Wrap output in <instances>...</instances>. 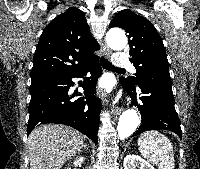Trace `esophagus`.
<instances>
[{
  "instance_id": "34e87169",
  "label": "esophagus",
  "mask_w": 200,
  "mask_h": 169,
  "mask_svg": "<svg viewBox=\"0 0 200 169\" xmlns=\"http://www.w3.org/2000/svg\"><path fill=\"white\" fill-rule=\"evenodd\" d=\"M104 54L107 58H109L110 55H111V50L109 48H106ZM121 112H122V108H120L118 106H115V107L112 108V113L115 114V115H119Z\"/></svg>"
}]
</instances>
